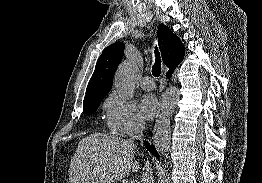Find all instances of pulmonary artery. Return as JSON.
Masks as SVG:
<instances>
[{"label": "pulmonary artery", "instance_id": "1", "mask_svg": "<svg viewBox=\"0 0 262 183\" xmlns=\"http://www.w3.org/2000/svg\"><path fill=\"white\" fill-rule=\"evenodd\" d=\"M140 86L146 91L153 90L155 88V83L152 77L144 76L140 81Z\"/></svg>", "mask_w": 262, "mask_h": 183}]
</instances>
